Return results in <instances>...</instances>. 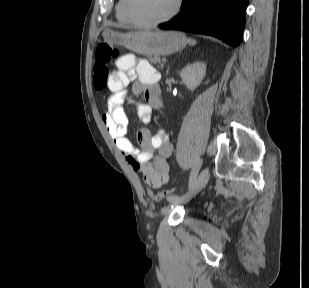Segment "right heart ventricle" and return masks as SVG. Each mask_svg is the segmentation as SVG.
Returning a JSON list of instances; mask_svg holds the SVG:
<instances>
[{
	"instance_id": "obj_1",
	"label": "right heart ventricle",
	"mask_w": 309,
	"mask_h": 288,
	"mask_svg": "<svg viewBox=\"0 0 309 288\" xmlns=\"http://www.w3.org/2000/svg\"><path fill=\"white\" fill-rule=\"evenodd\" d=\"M115 12H116V18L120 23L129 24L128 20L126 19L123 13V0H118Z\"/></svg>"
}]
</instances>
